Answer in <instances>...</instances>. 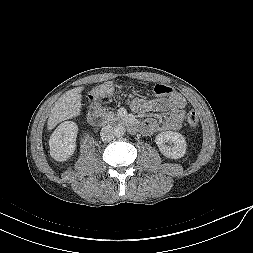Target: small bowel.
I'll use <instances>...</instances> for the list:
<instances>
[{"mask_svg":"<svg viewBox=\"0 0 253 253\" xmlns=\"http://www.w3.org/2000/svg\"><path fill=\"white\" fill-rule=\"evenodd\" d=\"M130 109L137 113L150 111L166 112L168 118L165 120L146 119L142 122V130L146 134L156 132L178 130L185 118L184 108L185 98L178 92L172 91L170 94L160 96L154 100L133 99L129 102Z\"/></svg>","mask_w":253,"mask_h":253,"instance_id":"obj_1","label":"small bowel"}]
</instances>
